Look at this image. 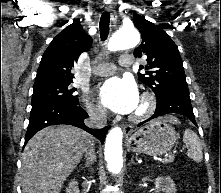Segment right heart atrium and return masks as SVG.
I'll list each match as a JSON object with an SVG mask.
<instances>
[{"mask_svg": "<svg viewBox=\"0 0 221 193\" xmlns=\"http://www.w3.org/2000/svg\"><path fill=\"white\" fill-rule=\"evenodd\" d=\"M82 104L91 118L96 120H102L105 118V110L100 105L90 101L86 97L82 99Z\"/></svg>", "mask_w": 221, "mask_h": 193, "instance_id": "d8ad5b80", "label": "right heart atrium"}]
</instances>
